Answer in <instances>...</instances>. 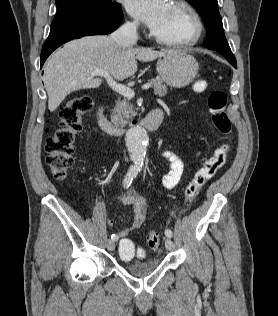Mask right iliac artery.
<instances>
[{
	"instance_id": "1",
	"label": "right iliac artery",
	"mask_w": 278,
	"mask_h": 316,
	"mask_svg": "<svg viewBox=\"0 0 278 316\" xmlns=\"http://www.w3.org/2000/svg\"><path fill=\"white\" fill-rule=\"evenodd\" d=\"M137 174H138V169L135 167H131L124 178V181H123L124 188H128L130 186V184L132 183V180L136 178ZM111 239L113 241H117L118 236L115 234H112Z\"/></svg>"
}]
</instances>
